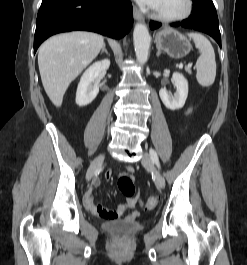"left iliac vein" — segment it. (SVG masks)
Listing matches in <instances>:
<instances>
[{"mask_svg":"<svg viewBox=\"0 0 247 265\" xmlns=\"http://www.w3.org/2000/svg\"><path fill=\"white\" fill-rule=\"evenodd\" d=\"M141 162L145 168L153 171L155 175V182H156L157 187H159L160 189H163L165 187V179L162 176V174L156 169L150 156L147 153L143 154Z\"/></svg>","mask_w":247,"mask_h":265,"instance_id":"left-iliac-vein-1","label":"left iliac vein"}]
</instances>
